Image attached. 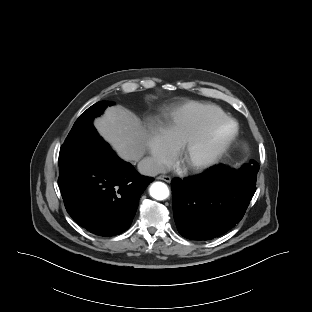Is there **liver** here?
Returning <instances> with one entry per match:
<instances>
[{
    "mask_svg": "<svg viewBox=\"0 0 312 312\" xmlns=\"http://www.w3.org/2000/svg\"><path fill=\"white\" fill-rule=\"evenodd\" d=\"M94 126L123 160L138 162L145 154L147 134L139 118L121 106L108 107Z\"/></svg>",
    "mask_w": 312,
    "mask_h": 312,
    "instance_id": "obj_1",
    "label": "liver"
}]
</instances>
